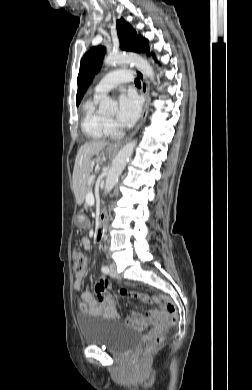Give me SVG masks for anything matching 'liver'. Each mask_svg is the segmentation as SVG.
Segmentation results:
<instances>
[{"instance_id":"liver-1","label":"liver","mask_w":252,"mask_h":390,"mask_svg":"<svg viewBox=\"0 0 252 390\" xmlns=\"http://www.w3.org/2000/svg\"><path fill=\"white\" fill-rule=\"evenodd\" d=\"M107 146L106 142H88L78 150L73 169V191L78 202H82L87 193V182L90 175V159Z\"/></svg>"}]
</instances>
